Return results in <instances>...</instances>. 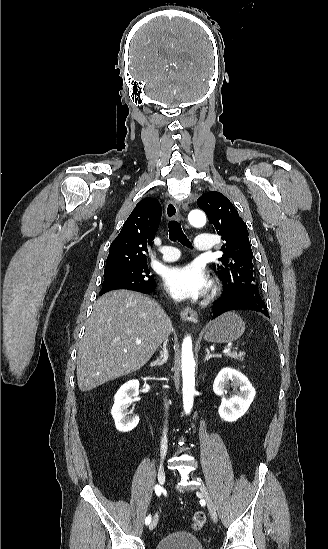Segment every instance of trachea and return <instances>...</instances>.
<instances>
[{
    "label": "trachea",
    "mask_w": 328,
    "mask_h": 549,
    "mask_svg": "<svg viewBox=\"0 0 328 549\" xmlns=\"http://www.w3.org/2000/svg\"><path fill=\"white\" fill-rule=\"evenodd\" d=\"M168 232H169V239L172 242H175L176 240H178V242H180L182 245L192 248V244L184 234L179 222L175 220H170L168 224Z\"/></svg>",
    "instance_id": "1"
}]
</instances>
